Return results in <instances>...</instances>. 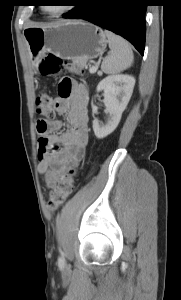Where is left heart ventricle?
I'll list each match as a JSON object with an SVG mask.
<instances>
[{
  "label": "left heart ventricle",
  "mask_w": 181,
  "mask_h": 300,
  "mask_svg": "<svg viewBox=\"0 0 181 300\" xmlns=\"http://www.w3.org/2000/svg\"><path fill=\"white\" fill-rule=\"evenodd\" d=\"M51 2H54V3L45 6V9L48 12L54 13V12H57L64 8V5H62V4H64L65 1H51Z\"/></svg>",
  "instance_id": "1"
}]
</instances>
